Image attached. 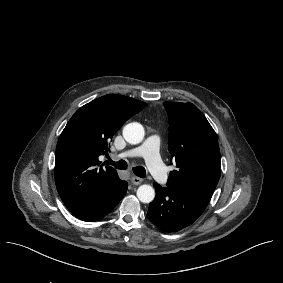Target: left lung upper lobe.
<instances>
[{"label":"left lung upper lobe","mask_w":283,"mask_h":283,"mask_svg":"<svg viewBox=\"0 0 283 283\" xmlns=\"http://www.w3.org/2000/svg\"><path fill=\"white\" fill-rule=\"evenodd\" d=\"M163 104L169 117L168 149L177 167L170 173L167 187L185 191L208 203L221 172L216 133L195 105Z\"/></svg>","instance_id":"1"}]
</instances>
